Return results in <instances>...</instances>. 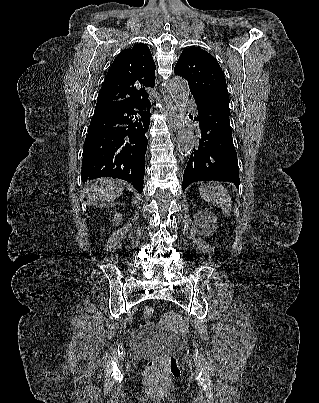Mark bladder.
<instances>
[{
	"label": "bladder",
	"mask_w": 319,
	"mask_h": 403,
	"mask_svg": "<svg viewBox=\"0 0 319 403\" xmlns=\"http://www.w3.org/2000/svg\"><path fill=\"white\" fill-rule=\"evenodd\" d=\"M175 344L172 334L165 330L140 333L135 339L136 350L144 355H156Z\"/></svg>",
	"instance_id": "obj_1"
}]
</instances>
